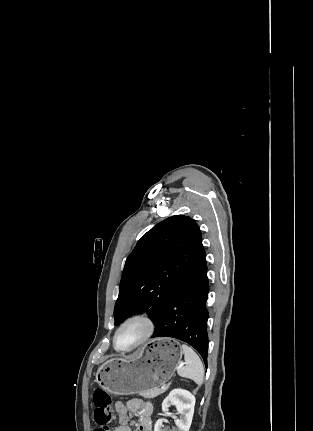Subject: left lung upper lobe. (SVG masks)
I'll list each match as a JSON object with an SVG mask.
<instances>
[{"instance_id": "5c2ea615", "label": "left lung upper lobe", "mask_w": 313, "mask_h": 431, "mask_svg": "<svg viewBox=\"0 0 313 431\" xmlns=\"http://www.w3.org/2000/svg\"><path fill=\"white\" fill-rule=\"evenodd\" d=\"M204 257L195 220L175 215L155 225L127 257L114 308L115 325L138 312H147L155 323Z\"/></svg>"}]
</instances>
